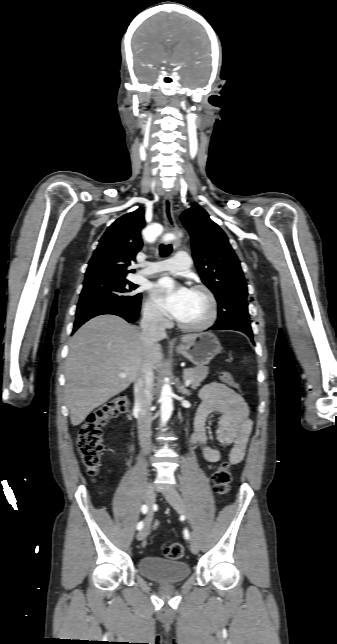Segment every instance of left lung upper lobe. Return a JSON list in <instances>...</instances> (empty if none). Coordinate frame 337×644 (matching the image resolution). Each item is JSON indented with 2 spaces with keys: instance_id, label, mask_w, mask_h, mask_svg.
<instances>
[{
  "instance_id": "5c2ea615",
  "label": "left lung upper lobe",
  "mask_w": 337,
  "mask_h": 644,
  "mask_svg": "<svg viewBox=\"0 0 337 644\" xmlns=\"http://www.w3.org/2000/svg\"><path fill=\"white\" fill-rule=\"evenodd\" d=\"M180 219L190 234L192 255L200 277L218 302L215 325L253 335L247 284L226 234L199 206L187 209Z\"/></svg>"
}]
</instances>
